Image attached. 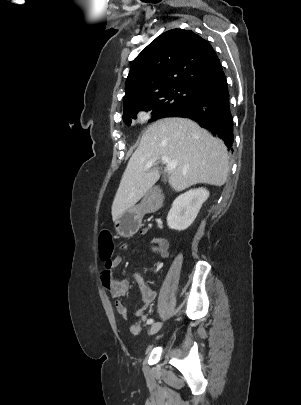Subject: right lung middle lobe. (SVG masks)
Instances as JSON below:
<instances>
[{"label":"right lung middle lobe","instance_id":"dd1d6c3e","mask_svg":"<svg viewBox=\"0 0 301 405\" xmlns=\"http://www.w3.org/2000/svg\"><path fill=\"white\" fill-rule=\"evenodd\" d=\"M202 92L187 88L172 89L165 92L149 96L141 101L140 106L135 109L123 112V120L127 125L131 124V119L136 118L140 110H153L152 120L167 117L176 109L184 107L195 101Z\"/></svg>","mask_w":301,"mask_h":405}]
</instances>
